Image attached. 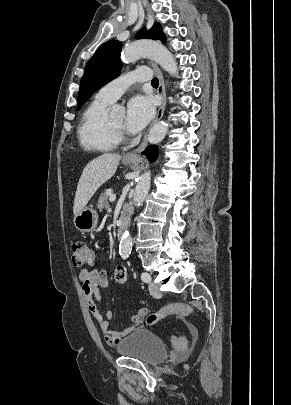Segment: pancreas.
Here are the masks:
<instances>
[{"label": "pancreas", "mask_w": 291, "mask_h": 405, "mask_svg": "<svg viewBox=\"0 0 291 405\" xmlns=\"http://www.w3.org/2000/svg\"><path fill=\"white\" fill-rule=\"evenodd\" d=\"M109 194L107 191L102 193L99 197L98 203H97V208L99 209L100 212H103L104 209H107L109 206Z\"/></svg>", "instance_id": "obj_1"}]
</instances>
